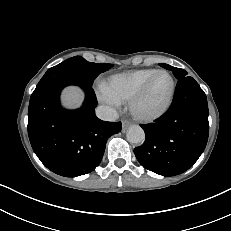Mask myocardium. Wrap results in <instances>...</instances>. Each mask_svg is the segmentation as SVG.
Masks as SVG:
<instances>
[{
	"label": "myocardium",
	"instance_id": "1",
	"mask_svg": "<svg viewBox=\"0 0 231 231\" xmlns=\"http://www.w3.org/2000/svg\"><path fill=\"white\" fill-rule=\"evenodd\" d=\"M164 74L169 77L170 79V91L169 94L164 101V103L157 109L149 112H144L140 110L139 106L142 100L146 97L148 94L155 78L158 75ZM176 93V82L174 77L165 70H157L147 81L146 83L129 99L128 102V108L131 113V115L142 122H153L159 118H161L163 115H165L168 110L170 109Z\"/></svg>",
	"mask_w": 231,
	"mask_h": 231
}]
</instances>
